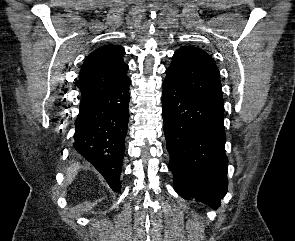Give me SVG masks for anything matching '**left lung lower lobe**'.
<instances>
[{"instance_id": "0a47b994", "label": "left lung lower lobe", "mask_w": 295, "mask_h": 241, "mask_svg": "<svg viewBox=\"0 0 295 241\" xmlns=\"http://www.w3.org/2000/svg\"><path fill=\"white\" fill-rule=\"evenodd\" d=\"M166 74L162 112L175 191L217 209L228 185L224 105L194 94Z\"/></svg>"}]
</instances>
